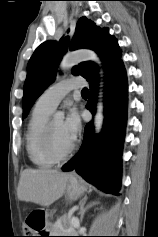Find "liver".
Here are the masks:
<instances>
[{"mask_svg": "<svg viewBox=\"0 0 158 237\" xmlns=\"http://www.w3.org/2000/svg\"><path fill=\"white\" fill-rule=\"evenodd\" d=\"M71 174L58 170L27 168L21 172L17 189L20 200L49 206L65 193Z\"/></svg>", "mask_w": 158, "mask_h": 237, "instance_id": "6515ba94", "label": "liver"}]
</instances>
